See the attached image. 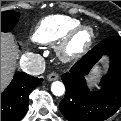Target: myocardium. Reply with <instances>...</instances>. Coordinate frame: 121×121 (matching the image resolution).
<instances>
[{"label": "myocardium", "mask_w": 121, "mask_h": 121, "mask_svg": "<svg viewBox=\"0 0 121 121\" xmlns=\"http://www.w3.org/2000/svg\"><path fill=\"white\" fill-rule=\"evenodd\" d=\"M82 33H87L88 38L79 46H75V41ZM96 34L92 27L79 25L73 28L58 44L57 54L64 62H70L80 58L91 47Z\"/></svg>", "instance_id": "obj_1"}]
</instances>
